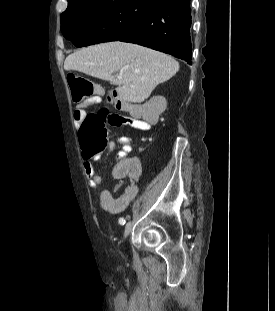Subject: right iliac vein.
Returning a JSON list of instances; mask_svg holds the SVG:
<instances>
[{
  "instance_id": "obj_1",
  "label": "right iliac vein",
  "mask_w": 275,
  "mask_h": 311,
  "mask_svg": "<svg viewBox=\"0 0 275 311\" xmlns=\"http://www.w3.org/2000/svg\"><path fill=\"white\" fill-rule=\"evenodd\" d=\"M132 229V222L129 221L126 225H125V229H124V239L130 234Z\"/></svg>"
}]
</instances>
